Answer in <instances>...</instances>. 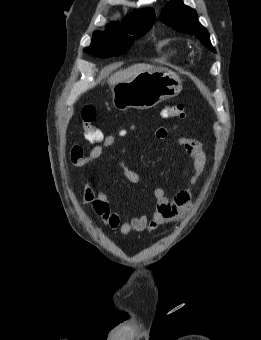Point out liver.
Instances as JSON below:
<instances>
[{"label":"liver","mask_w":261,"mask_h":340,"mask_svg":"<svg viewBox=\"0 0 261 340\" xmlns=\"http://www.w3.org/2000/svg\"><path fill=\"white\" fill-rule=\"evenodd\" d=\"M150 70H159L153 65L149 64H144V63H138L134 64L126 69L120 70L113 74L108 82L110 86H114L117 83L129 80L137 76L138 74L145 72V71H150Z\"/></svg>","instance_id":"liver-1"}]
</instances>
